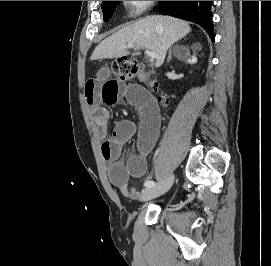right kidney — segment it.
Instances as JSON below:
<instances>
[{
  "label": "right kidney",
  "instance_id": "1",
  "mask_svg": "<svg viewBox=\"0 0 271 266\" xmlns=\"http://www.w3.org/2000/svg\"><path fill=\"white\" fill-rule=\"evenodd\" d=\"M197 61V58L196 57H192V59L190 60L191 63H195Z\"/></svg>",
  "mask_w": 271,
  "mask_h": 266
}]
</instances>
